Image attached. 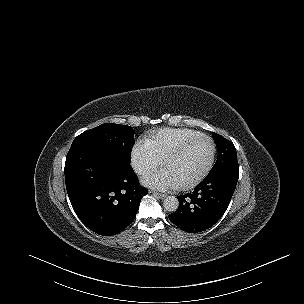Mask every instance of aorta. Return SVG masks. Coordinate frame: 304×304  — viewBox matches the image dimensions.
<instances>
[{"instance_id": "aorta-1", "label": "aorta", "mask_w": 304, "mask_h": 304, "mask_svg": "<svg viewBox=\"0 0 304 304\" xmlns=\"http://www.w3.org/2000/svg\"><path fill=\"white\" fill-rule=\"evenodd\" d=\"M179 201L175 196H168L163 201V206L168 212H175L179 207Z\"/></svg>"}]
</instances>
